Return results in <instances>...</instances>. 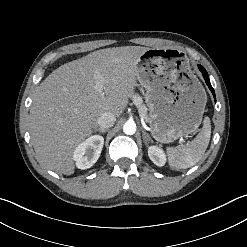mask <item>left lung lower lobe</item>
Instances as JSON below:
<instances>
[{"mask_svg":"<svg viewBox=\"0 0 247 247\" xmlns=\"http://www.w3.org/2000/svg\"><path fill=\"white\" fill-rule=\"evenodd\" d=\"M198 67H199V70L202 72V75L206 81V84L208 85L209 89L211 90V92L213 93V96L215 98V92H214V89L212 88V86L210 84V80H209V76L207 74V71L201 65H199Z\"/></svg>","mask_w":247,"mask_h":247,"instance_id":"left-lung-lower-lobe-1","label":"left lung lower lobe"}]
</instances>
